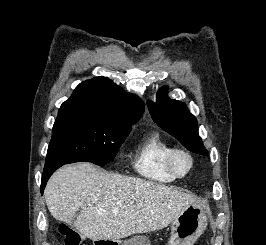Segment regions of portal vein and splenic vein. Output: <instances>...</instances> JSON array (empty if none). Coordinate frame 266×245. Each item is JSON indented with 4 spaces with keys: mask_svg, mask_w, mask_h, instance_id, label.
I'll list each match as a JSON object with an SVG mask.
<instances>
[{
    "mask_svg": "<svg viewBox=\"0 0 266 245\" xmlns=\"http://www.w3.org/2000/svg\"><path fill=\"white\" fill-rule=\"evenodd\" d=\"M98 213H104V209H98Z\"/></svg>",
    "mask_w": 266,
    "mask_h": 245,
    "instance_id": "obj_1",
    "label": "portal vein and splenic vein"
}]
</instances>
